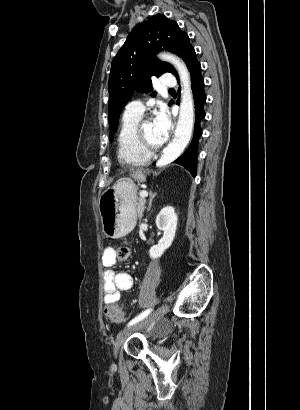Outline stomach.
<instances>
[{"mask_svg": "<svg viewBox=\"0 0 300 410\" xmlns=\"http://www.w3.org/2000/svg\"><path fill=\"white\" fill-rule=\"evenodd\" d=\"M136 181L145 180L140 172H134ZM136 187L131 179H120L105 190L98 203L102 231L107 238H120L132 231L136 224Z\"/></svg>", "mask_w": 300, "mask_h": 410, "instance_id": "obj_1", "label": "stomach"}]
</instances>
